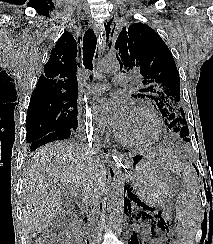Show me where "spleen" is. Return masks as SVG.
Instances as JSON below:
<instances>
[{
	"label": "spleen",
	"instance_id": "1",
	"mask_svg": "<svg viewBox=\"0 0 213 244\" xmlns=\"http://www.w3.org/2000/svg\"><path fill=\"white\" fill-rule=\"evenodd\" d=\"M165 165L180 175L184 183L175 204L178 236L182 244H194L202 222L198 180L192 169L176 157L167 158Z\"/></svg>",
	"mask_w": 213,
	"mask_h": 244
}]
</instances>
